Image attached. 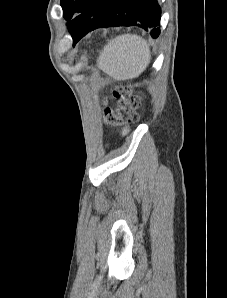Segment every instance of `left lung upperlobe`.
<instances>
[{"mask_svg":"<svg viewBox=\"0 0 227 298\" xmlns=\"http://www.w3.org/2000/svg\"><path fill=\"white\" fill-rule=\"evenodd\" d=\"M105 4L106 0H61L63 17L68 20L73 42L92 31Z\"/></svg>","mask_w":227,"mask_h":298,"instance_id":"obj_1","label":"left lung upper lobe"}]
</instances>
